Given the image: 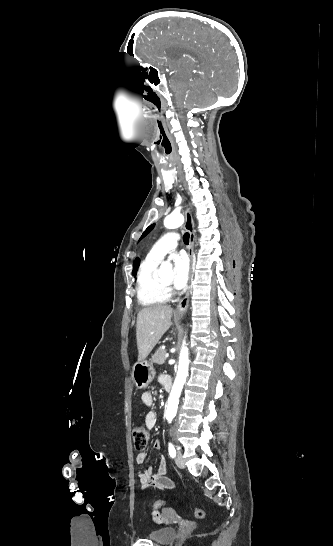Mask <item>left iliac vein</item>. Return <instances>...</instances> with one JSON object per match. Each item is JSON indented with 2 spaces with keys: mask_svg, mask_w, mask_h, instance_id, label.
<instances>
[{
  "mask_svg": "<svg viewBox=\"0 0 333 546\" xmlns=\"http://www.w3.org/2000/svg\"><path fill=\"white\" fill-rule=\"evenodd\" d=\"M176 464L179 468L183 469L185 467V462L182 456V453L180 450L177 451V455L175 458Z\"/></svg>",
  "mask_w": 333,
  "mask_h": 546,
  "instance_id": "1",
  "label": "left iliac vein"
}]
</instances>
